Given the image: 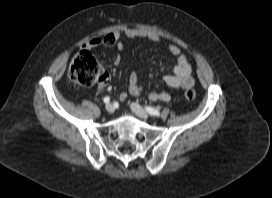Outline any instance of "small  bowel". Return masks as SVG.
<instances>
[{"label": "small bowel", "instance_id": "c3829d8e", "mask_svg": "<svg viewBox=\"0 0 272 198\" xmlns=\"http://www.w3.org/2000/svg\"><path fill=\"white\" fill-rule=\"evenodd\" d=\"M123 38L136 39V38H145L154 42H160L161 38L149 31H144L137 28H126L123 31H114L105 35L103 38H93L87 43L84 44L85 49H94L101 45L106 46H115L119 51L124 49V43L122 42ZM168 49L170 53L175 56L176 64L171 67L169 73L164 76V82L166 85L172 88H181L189 89L193 87L194 80L191 76V66L187 60V57L184 53L181 52L179 47L174 44H169ZM121 62L120 55H117L114 58V64L119 65ZM109 84V76L104 75L97 87L102 90L107 87ZM142 91V87L138 82L137 75L132 72L129 76L128 92L133 96H139ZM127 98V93L122 92L120 94V100L124 101ZM149 100L153 102H169L171 96L169 93L162 92H151L148 96Z\"/></svg>", "mask_w": 272, "mask_h": 198}]
</instances>
